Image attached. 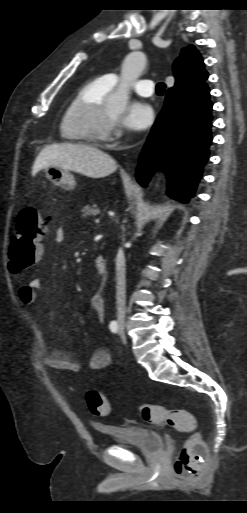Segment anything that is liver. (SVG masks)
<instances>
[{"mask_svg":"<svg viewBox=\"0 0 247 513\" xmlns=\"http://www.w3.org/2000/svg\"><path fill=\"white\" fill-rule=\"evenodd\" d=\"M56 166L89 178H104L117 169L108 154L82 144H52L41 150L32 167V176L43 168Z\"/></svg>","mask_w":247,"mask_h":513,"instance_id":"obj_1","label":"liver"}]
</instances>
